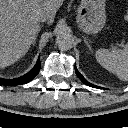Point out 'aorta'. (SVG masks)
<instances>
[{
	"label": "aorta",
	"instance_id": "762f6f07",
	"mask_svg": "<svg viewBox=\"0 0 128 128\" xmlns=\"http://www.w3.org/2000/svg\"><path fill=\"white\" fill-rule=\"evenodd\" d=\"M73 42V37L69 34H63L57 38V45L61 50L71 49Z\"/></svg>",
	"mask_w": 128,
	"mask_h": 128
}]
</instances>
